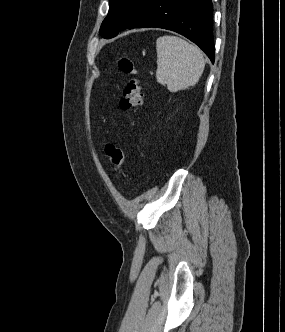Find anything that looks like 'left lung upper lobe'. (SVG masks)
Segmentation results:
<instances>
[{
  "label": "left lung upper lobe",
  "mask_w": 285,
  "mask_h": 332,
  "mask_svg": "<svg viewBox=\"0 0 285 332\" xmlns=\"http://www.w3.org/2000/svg\"><path fill=\"white\" fill-rule=\"evenodd\" d=\"M153 0H110L109 13L101 24L99 33L109 39L115 37L148 7Z\"/></svg>",
  "instance_id": "left-lung-upper-lobe-1"
}]
</instances>
